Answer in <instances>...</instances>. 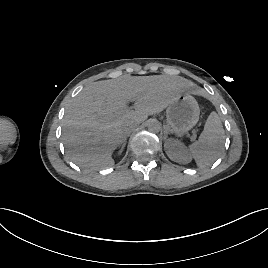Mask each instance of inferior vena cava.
I'll list each match as a JSON object with an SVG mask.
<instances>
[{"label": "inferior vena cava", "mask_w": 268, "mask_h": 268, "mask_svg": "<svg viewBox=\"0 0 268 268\" xmlns=\"http://www.w3.org/2000/svg\"><path fill=\"white\" fill-rule=\"evenodd\" d=\"M136 126L133 124H125L123 126V131H124V135L126 136L127 134L133 132L135 130Z\"/></svg>", "instance_id": "602c4592"}]
</instances>
